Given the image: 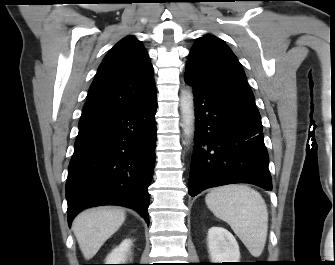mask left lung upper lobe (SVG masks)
I'll return each mask as SVG.
<instances>
[{"mask_svg":"<svg viewBox=\"0 0 335 265\" xmlns=\"http://www.w3.org/2000/svg\"><path fill=\"white\" fill-rule=\"evenodd\" d=\"M185 73L215 90L255 105L254 95L238 59L221 39L213 35L196 41Z\"/></svg>","mask_w":335,"mask_h":265,"instance_id":"left-lung-upper-lobe-1","label":"left lung upper lobe"}]
</instances>
